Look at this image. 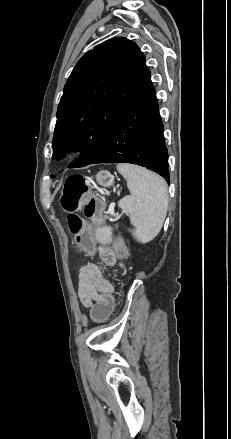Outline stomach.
<instances>
[{"mask_svg":"<svg viewBox=\"0 0 231 439\" xmlns=\"http://www.w3.org/2000/svg\"><path fill=\"white\" fill-rule=\"evenodd\" d=\"M96 181L104 189L109 188L114 183V177L109 172L103 171L96 175Z\"/></svg>","mask_w":231,"mask_h":439,"instance_id":"obj_1","label":"stomach"}]
</instances>
